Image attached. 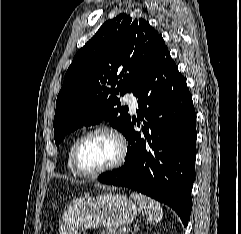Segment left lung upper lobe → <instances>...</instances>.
I'll return each mask as SVG.
<instances>
[{"instance_id": "5c2ea615", "label": "left lung upper lobe", "mask_w": 241, "mask_h": 234, "mask_svg": "<svg viewBox=\"0 0 241 234\" xmlns=\"http://www.w3.org/2000/svg\"><path fill=\"white\" fill-rule=\"evenodd\" d=\"M162 36L143 19L127 14L105 22L77 52L56 101L54 138L105 120L125 136L128 107L116 95L133 92L159 53Z\"/></svg>"}]
</instances>
